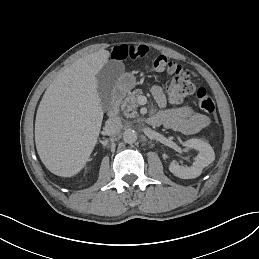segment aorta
Masks as SVG:
<instances>
[{
    "instance_id": "762f6f07",
    "label": "aorta",
    "mask_w": 259,
    "mask_h": 259,
    "mask_svg": "<svg viewBox=\"0 0 259 259\" xmlns=\"http://www.w3.org/2000/svg\"><path fill=\"white\" fill-rule=\"evenodd\" d=\"M123 140L127 144H133L137 141V133L133 129H127L123 133Z\"/></svg>"
}]
</instances>
